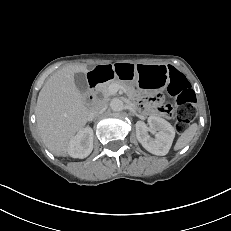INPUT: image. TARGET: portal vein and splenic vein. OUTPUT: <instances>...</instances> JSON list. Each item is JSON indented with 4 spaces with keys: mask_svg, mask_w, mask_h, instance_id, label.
Segmentation results:
<instances>
[{
    "mask_svg": "<svg viewBox=\"0 0 231 231\" xmlns=\"http://www.w3.org/2000/svg\"><path fill=\"white\" fill-rule=\"evenodd\" d=\"M110 89H111L112 92H117L118 89H119V86H117V85H112V86L110 87Z\"/></svg>",
    "mask_w": 231,
    "mask_h": 231,
    "instance_id": "portal-vein-and-splenic-vein-1",
    "label": "portal vein and splenic vein"
}]
</instances>
